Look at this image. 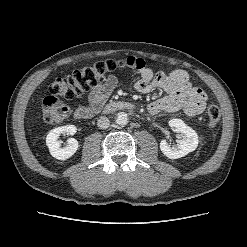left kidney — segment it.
<instances>
[{
  "label": "left kidney",
  "mask_w": 247,
  "mask_h": 247,
  "mask_svg": "<svg viewBox=\"0 0 247 247\" xmlns=\"http://www.w3.org/2000/svg\"><path fill=\"white\" fill-rule=\"evenodd\" d=\"M171 127H175L184 135V139L179 140L178 144L171 146L166 140L160 142V150L170 159H178L186 156L194 151L198 146L197 133L180 119H172L169 121Z\"/></svg>",
  "instance_id": "left-kidney-1"
}]
</instances>
